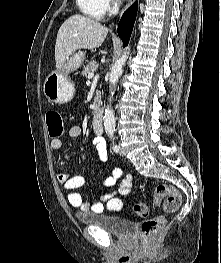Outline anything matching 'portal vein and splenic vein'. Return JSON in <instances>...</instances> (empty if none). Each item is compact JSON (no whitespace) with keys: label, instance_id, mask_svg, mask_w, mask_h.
<instances>
[{"label":"portal vein and splenic vein","instance_id":"18ae733b","mask_svg":"<svg viewBox=\"0 0 221 263\" xmlns=\"http://www.w3.org/2000/svg\"><path fill=\"white\" fill-rule=\"evenodd\" d=\"M94 77V73H90L89 75H88V79H92Z\"/></svg>","mask_w":221,"mask_h":263}]
</instances>
